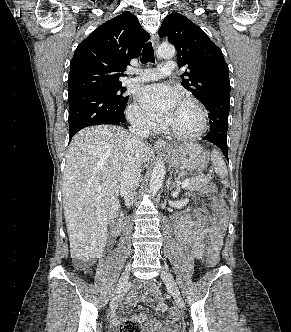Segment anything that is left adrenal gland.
<instances>
[{"label": "left adrenal gland", "mask_w": 291, "mask_h": 332, "mask_svg": "<svg viewBox=\"0 0 291 332\" xmlns=\"http://www.w3.org/2000/svg\"><path fill=\"white\" fill-rule=\"evenodd\" d=\"M172 185L173 187H175V183L172 180V174H170L167 182H166V187L169 188V186Z\"/></svg>", "instance_id": "left-adrenal-gland-1"}]
</instances>
